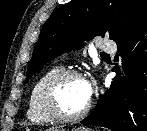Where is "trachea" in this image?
I'll use <instances>...</instances> for the list:
<instances>
[{"instance_id": "3493384b", "label": "trachea", "mask_w": 147, "mask_h": 131, "mask_svg": "<svg viewBox=\"0 0 147 131\" xmlns=\"http://www.w3.org/2000/svg\"><path fill=\"white\" fill-rule=\"evenodd\" d=\"M102 56H108V54L103 53Z\"/></svg>"}]
</instances>
